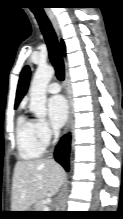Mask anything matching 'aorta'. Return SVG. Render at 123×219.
Here are the masks:
<instances>
[{"label":"aorta","mask_w":123,"mask_h":219,"mask_svg":"<svg viewBox=\"0 0 123 219\" xmlns=\"http://www.w3.org/2000/svg\"><path fill=\"white\" fill-rule=\"evenodd\" d=\"M54 68L39 65L30 86V111L37 117L46 115V88L54 75Z\"/></svg>","instance_id":"1"}]
</instances>
